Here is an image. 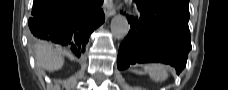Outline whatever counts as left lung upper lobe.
I'll return each instance as SVG.
<instances>
[{
	"instance_id": "left-lung-upper-lobe-1",
	"label": "left lung upper lobe",
	"mask_w": 228,
	"mask_h": 90,
	"mask_svg": "<svg viewBox=\"0 0 228 90\" xmlns=\"http://www.w3.org/2000/svg\"><path fill=\"white\" fill-rule=\"evenodd\" d=\"M169 1L175 7L177 6V4H179V7H177V9L180 8L183 11H189V8H188L189 0H169Z\"/></svg>"
}]
</instances>
